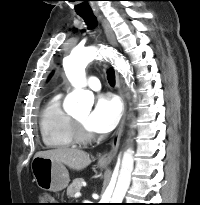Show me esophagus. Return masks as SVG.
<instances>
[{
  "label": "esophagus",
  "instance_id": "obj_1",
  "mask_svg": "<svg viewBox=\"0 0 200 205\" xmlns=\"http://www.w3.org/2000/svg\"><path fill=\"white\" fill-rule=\"evenodd\" d=\"M96 17L101 22L104 28V32H105V35L107 37L109 44L113 46L114 48H116L117 41H116L114 32L110 24L107 22V20L102 15L96 13ZM115 75H116V87L118 90V94L123 102V114H122V119L119 124V127L112 138L110 151L100 155L98 158V162L103 165L109 164L111 160L113 159V157L117 154L119 144H120V139L123 133L124 125H125L126 116H127V102L125 98L124 89L121 84V78L117 71L115 72Z\"/></svg>",
  "mask_w": 200,
  "mask_h": 205
}]
</instances>
